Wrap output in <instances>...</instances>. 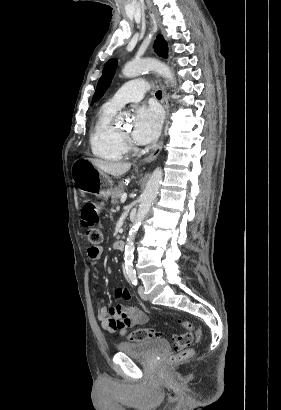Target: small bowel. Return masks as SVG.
<instances>
[{
  "label": "small bowel",
  "instance_id": "obj_1",
  "mask_svg": "<svg viewBox=\"0 0 281 410\" xmlns=\"http://www.w3.org/2000/svg\"><path fill=\"white\" fill-rule=\"evenodd\" d=\"M102 251V246H91L88 249L89 263L94 270L97 269ZM115 295L122 300H129L131 298L130 291L125 287L116 288ZM97 319L101 322L106 332L114 334L131 326L145 324L148 321V316L135 306L118 304L108 308L106 305L101 304L97 311Z\"/></svg>",
  "mask_w": 281,
  "mask_h": 410
}]
</instances>
